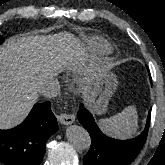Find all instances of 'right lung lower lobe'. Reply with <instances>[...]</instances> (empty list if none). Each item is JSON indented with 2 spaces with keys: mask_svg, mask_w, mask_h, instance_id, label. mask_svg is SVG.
I'll list each match as a JSON object with an SVG mask.
<instances>
[{
  "mask_svg": "<svg viewBox=\"0 0 165 165\" xmlns=\"http://www.w3.org/2000/svg\"><path fill=\"white\" fill-rule=\"evenodd\" d=\"M58 130L50 102L36 104L19 126L0 130V162L6 165H39L46 140Z\"/></svg>",
  "mask_w": 165,
  "mask_h": 165,
  "instance_id": "1",
  "label": "right lung lower lobe"
}]
</instances>
